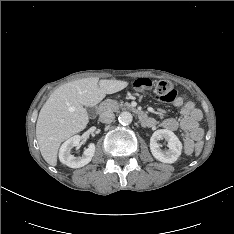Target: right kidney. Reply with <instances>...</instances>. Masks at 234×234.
Wrapping results in <instances>:
<instances>
[{"mask_svg": "<svg viewBox=\"0 0 234 234\" xmlns=\"http://www.w3.org/2000/svg\"><path fill=\"white\" fill-rule=\"evenodd\" d=\"M82 140L81 136L75 135L66 140L60 147L59 159L60 161L71 168H80L87 165L95 153V144L90 143L88 148L83 152L82 157H75L72 155L71 149L79 145Z\"/></svg>", "mask_w": 234, "mask_h": 234, "instance_id": "right-kidney-1", "label": "right kidney"}]
</instances>
